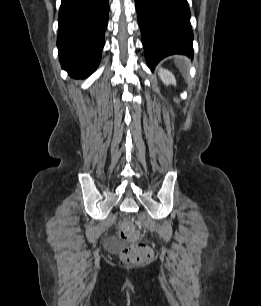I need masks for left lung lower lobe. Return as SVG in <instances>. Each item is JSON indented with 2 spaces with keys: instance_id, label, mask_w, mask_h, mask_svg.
<instances>
[{
  "instance_id": "1",
  "label": "left lung lower lobe",
  "mask_w": 261,
  "mask_h": 306,
  "mask_svg": "<svg viewBox=\"0 0 261 306\" xmlns=\"http://www.w3.org/2000/svg\"><path fill=\"white\" fill-rule=\"evenodd\" d=\"M149 68L172 54L193 56V33L187 0H135Z\"/></svg>"
}]
</instances>
